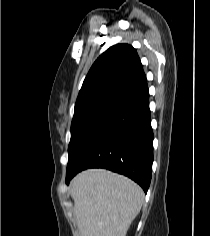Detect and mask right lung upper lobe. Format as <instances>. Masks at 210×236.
I'll use <instances>...</instances> for the list:
<instances>
[{
    "label": "right lung upper lobe",
    "instance_id": "obj_1",
    "mask_svg": "<svg viewBox=\"0 0 210 236\" xmlns=\"http://www.w3.org/2000/svg\"><path fill=\"white\" fill-rule=\"evenodd\" d=\"M145 82L136 50L128 44L114 45L92 65L75 105L119 88L133 91Z\"/></svg>",
    "mask_w": 210,
    "mask_h": 236
}]
</instances>
